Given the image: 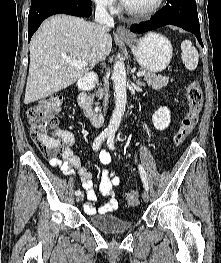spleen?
Listing matches in <instances>:
<instances>
[{
	"label": "spleen",
	"mask_w": 221,
	"mask_h": 263,
	"mask_svg": "<svg viewBox=\"0 0 221 263\" xmlns=\"http://www.w3.org/2000/svg\"><path fill=\"white\" fill-rule=\"evenodd\" d=\"M182 61L186 69L193 71L196 69L199 61L197 49L192 45L191 41L185 40L181 43Z\"/></svg>",
	"instance_id": "spleen-1"
}]
</instances>
